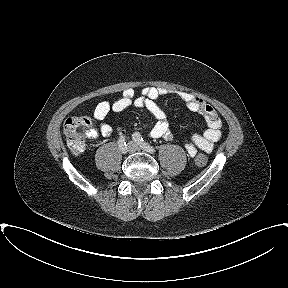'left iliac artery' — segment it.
<instances>
[{
  "instance_id": "44dca946",
  "label": "left iliac artery",
  "mask_w": 288,
  "mask_h": 288,
  "mask_svg": "<svg viewBox=\"0 0 288 288\" xmlns=\"http://www.w3.org/2000/svg\"><path fill=\"white\" fill-rule=\"evenodd\" d=\"M132 136H133L132 137L133 140L145 151H147L149 153H154L156 151L153 146H151L150 144H148L144 141V139L142 138L140 133L135 132Z\"/></svg>"
}]
</instances>
